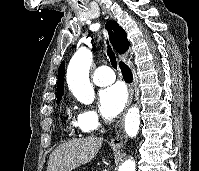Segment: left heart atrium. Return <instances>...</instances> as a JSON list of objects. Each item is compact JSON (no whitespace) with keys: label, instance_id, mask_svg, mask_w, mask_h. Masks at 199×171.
Here are the masks:
<instances>
[{"label":"left heart atrium","instance_id":"left-heart-atrium-1","mask_svg":"<svg viewBox=\"0 0 199 171\" xmlns=\"http://www.w3.org/2000/svg\"><path fill=\"white\" fill-rule=\"evenodd\" d=\"M100 109L107 118L116 117L123 109L126 102V91L122 84L116 83L99 94Z\"/></svg>","mask_w":199,"mask_h":171}]
</instances>
